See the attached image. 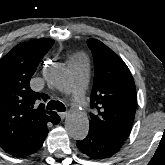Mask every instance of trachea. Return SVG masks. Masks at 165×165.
Here are the masks:
<instances>
[{
    "mask_svg": "<svg viewBox=\"0 0 165 165\" xmlns=\"http://www.w3.org/2000/svg\"><path fill=\"white\" fill-rule=\"evenodd\" d=\"M46 109L47 110H57L60 112H64L66 110L63 103H61L60 101H55V100L49 101L46 106Z\"/></svg>",
    "mask_w": 165,
    "mask_h": 165,
    "instance_id": "1",
    "label": "trachea"
}]
</instances>
